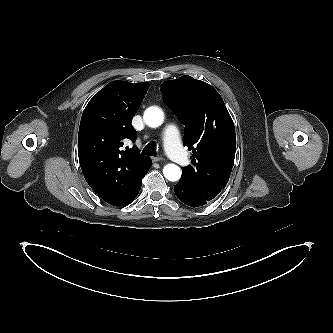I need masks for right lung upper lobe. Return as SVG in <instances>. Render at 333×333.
<instances>
[{"label":"right lung upper lobe","mask_w":333,"mask_h":333,"mask_svg":"<svg viewBox=\"0 0 333 333\" xmlns=\"http://www.w3.org/2000/svg\"><path fill=\"white\" fill-rule=\"evenodd\" d=\"M149 86L110 82L92 97L81 117L78 156L83 175L95 193L114 206L136 197L151 166L135 146L122 148L125 141L136 140L131 121Z\"/></svg>","instance_id":"cb5924a9"}]
</instances>
